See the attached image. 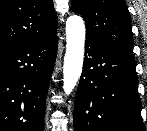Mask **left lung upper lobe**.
<instances>
[{"instance_id": "5c2ea615", "label": "left lung upper lobe", "mask_w": 147, "mask_h": 131, "mask_svg": "<svg viewBox=\"0 0 147 131\" xmlns=\"http://www.w3.org/2000/svg\"><path fill=\"white\" fill-rule=\"evenodd\" d=\"M83 16L87 38L134 58L131 17L124 0H71Z\"/></svg>"}]
</instances>
